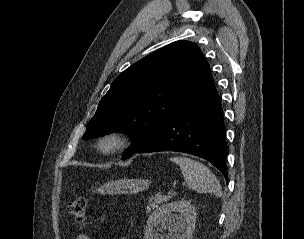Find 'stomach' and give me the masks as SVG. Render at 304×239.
Segmentation results:
<instances>
[{
    "label": "stomach",
    "instance_id": "1",
    "mask_svg": "<svg viewBox=\"0 0 304 239\" xmlns=\"http://www.w3.org/2000/svg\"><path fill=\"white\" fill-rule=\"evenodd\" d=\"M150 185L145 179H119L103 184L98 188L100 194H133L144 191Z\"/></svg>",
    "mask_w": 304,
    "mask_h": 239
}]
</instances>
